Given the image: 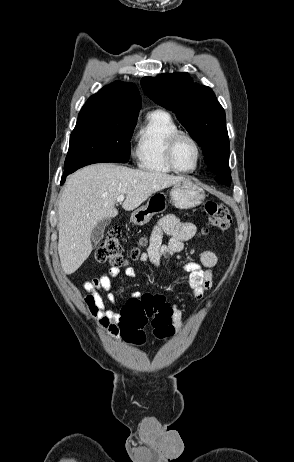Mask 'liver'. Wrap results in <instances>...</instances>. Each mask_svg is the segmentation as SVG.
<instances>
[{"instance_id": "1", "label": "liver", "mask_w": 294, "mask_h": 462, "mask_svg": "<svg viewBox=\"0 0 294 462\" xmlns=\"http://www.w3.org/2000/svg\"><path fill=\"white\" fill-rule=\"evenodd\" d=\"M183 180L181 176L109 163L89 165L73 173L59 202L58 253L63 271L74 273L89 257L91 233L99 221L118 215V196H126L122 208L131 211L152 194Z\"/></svg>"}]
</instances>
